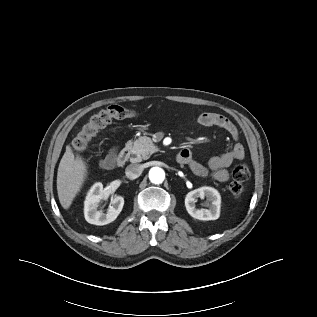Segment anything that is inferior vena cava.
Masks as SVG:
<instances>
[{"label":"inferior vena cava","mask_w":317,"mask_h":317,"mask_svg":"<svg viewBox=\"0 0 317 317\" xmlns=\"http://www.w3.org/2000/svg\"><path fill=\"white\" fill-rule=\"evenodd\" d=\"M143 171V167L139 164H130L126 167L125 174L129 179L138 178Z\"/></svg>","instance_id":"1"}]
</instances>
